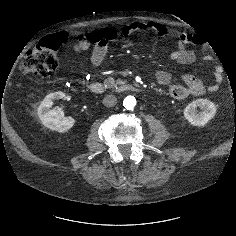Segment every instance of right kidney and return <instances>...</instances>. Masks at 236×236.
Here are the masks:
<instances>
[{"mask_svg": "<svg viewBox=\"0 0 236 236\" xmlns=\"http://www.w3.org/2000/svg\"><path fill=\"white\" fill-rule=\"evenodd\" d=\"M66 95L61 92L48 94L38 107V117L42 124L53 131L64 132L73 127L75 119L65 117L61 109H52L55 100L63 99Z\"/></svg>", "mask_w": 236, "mask_h": 236, "instance_id": "obj_1", "label": "right kidney"}]
</instances>
